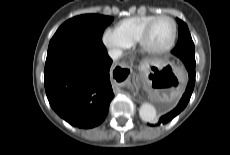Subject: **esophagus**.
Here are the masks:
<instances>
[{"label":"esophagus","instance_id":"obj_1","mask_svg":"<svg viewBox=\"0 0 230 155\" xmlns=\"http://www.w3.org/2000/svg\"><path fill=\"white\" fill-rule=\"evenodd\" d=\"M119 66L121 67V70L124 71V72L129 73V72L131 71L130 67L127 66L126 64H119ZM114 86H115V88H116L117 90L120 91V88L117 86V84H115Z\"/></svg>","mask_w":230,"mask_h":155}]
</instances>
